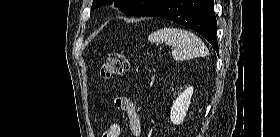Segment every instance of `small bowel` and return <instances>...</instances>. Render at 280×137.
I'll list each match as a JSON object with an SVG mask.
<instances>
[{"label": "small bowel", "instance_id": "c3829d8e", "mask_svg": "<svg viewBox=\"0 0 280 137\" xmlns=\"http://www.w3.org/2000/svg\"><path fill=\"white\" fill-rule=\"evenodd\" d=\"M114 105L126 117L131 133L134 136H139L142 130L139 119L142 109L140 103L131 97H118L114 100ZM112 127L119 128L117 124H113L109 126L108 129Z\"/></svg>", "mask_w": 280, "mask_h": 137}]
</instances>
